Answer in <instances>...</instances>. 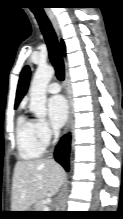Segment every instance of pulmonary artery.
Instances as JSON below:
<instances>
[{
    "label": "pulmonary artery",
    "instance_id": "1",
    "mask_svg": "<svg viewBox=\"0 0 123 219\" xmlns=\"http://www.w3.org/2000/svg\"><path fill=\"white\" fill-rule=\"evenodd\" d=\"M61 91V86L57 82L50 83L47 86V92L51 94H55Z\"/></svg>",
    "mask_w": 123,
    "mask_h": 219
}]
</instances>
